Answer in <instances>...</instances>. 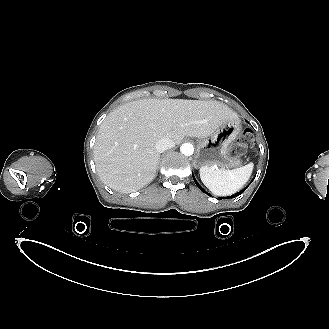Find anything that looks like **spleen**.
Wrapping results in <instances>:
<instances>
[{
    "label": "spleen",
    "mask_w": 329,
    "mask_h": 329,
    "mask_svg": "<svg viewBox=\"0 0 329 329\" xmlns=\"http://www.w3.org/2000/svg\"><path fill=\"white\" fill-rule=\"evenodd\" d=\"M253 167V163L232 170L202 167L199 173L201 181L213 194L226 196L236 193L247 183Z\"/></svg>",
    "instance_id": "1"
}]
</instances>
